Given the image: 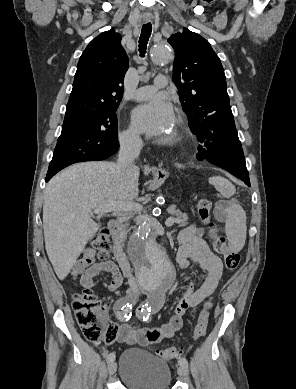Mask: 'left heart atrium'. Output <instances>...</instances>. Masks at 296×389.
I'll list each match as a JSON object with an SVG mask.
<instances>
[{"label":"left heart atrium","mask_w":296,"mask_h":389,"mask_svg":"<svg viewBox=\"0 0 296 389\" xmlns=\"http://www.w3.org/2000/svg\"><path fill=\"white\" fill-rule=\"evenodd\" d=\"M173 122L172 105L163 97L140 104L131 112L132 126L139 133L161 135L171 129Z\"/></svg>","instance_id":"1"}]
</instances>
